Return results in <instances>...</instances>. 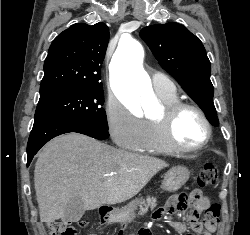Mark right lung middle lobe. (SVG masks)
<instances>
[{
  "mask_svg": "<svg viewBox=\"0 0 250 235\" xmlns=\"http://www.w3.org/2000/svg\"><path fill=\"white\" fill-rule=\"evenodd\" d=\"M102 86L62 91L40 97L35 120L67 118L108 130Z\"/></svg>",
  "mask_w": 250,
  "mask_h": 235,
  "instance_id": "obj_1",
  "label": "right lung middle lobe"
}]
</instances>
